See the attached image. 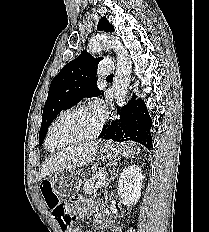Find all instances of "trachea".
Wrapping results in <instances>:
<instances>
[{
  "instance_id": "1",
  "label": "trachea",
  "mask_w": 209,
  "mask_h": 232,
  "mask_svg": "<svg viewBox=\"0 0 209 232\" xmlns=\"http://www.w3.org/2000/svg\"><path fill=\"white\" fill-rule=\"evenodd\" d=\"M106 78H107V79H112V78H113V74L107 76Z\"/></svg>"
}]
</instances>
